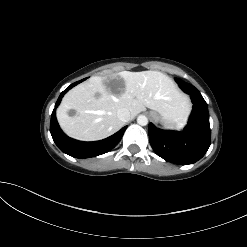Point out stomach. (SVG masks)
<instances>
[{
  "instance_id": "1",
  "label": "stomach",
  "mask_w": 247,
  "mask_h": 247,
  "mask_svg": "<svg viewBox=\"0 0 247 247\" xmlns=\"http://www.w3.org/2000/svg\"><path fill=\"white\" fill-rule=\"evenodd\" d=\"M151 116H152V118H153L156 122L162 123L163 126H164L165 128H172V127L174 126L173 124H171V123L165 121V120L161 117V115L157 114L156 112H151Z\"/></svg>"
}]
</instances>
